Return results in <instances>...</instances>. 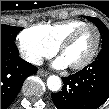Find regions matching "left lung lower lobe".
Here are the masks:
<instances>
[{
    "instance_id": "1",
    "label": "left lung lower lobe",
    "mask_w": 109,
    "mask_h": 109,
    "mask_svg": "<svg viewBox=\"0 0 109 109\" xmlns=\"http://www.w3.org/2000/svg\"><path fill=\"white\" fill-rule=\"evenodd\" d=\"M62 80V90L52 94L58 109L99 108L109 98V46L89 66Z\"/></svg>"
}]
</instances>
